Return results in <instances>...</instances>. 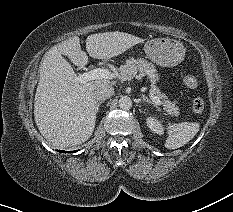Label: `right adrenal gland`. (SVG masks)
<instances>
[{
  "label": "right adrenal gland",
  "instance_id": "right-adrenal-gland-1",
  "mask_svg": "<svg viewBox=\"0 0 233 212\" xmlns=\"http://www.w3.org/2000/svg\"><path fill=\"white\" fill-rule=\"evenodd\" d=\"M102 103H104V101H103V100H102V101H97V104H96L97 112H98L99 107H100V105H101Z\"/></svg>",
  "mask_w": 233,
  "mask_h": 212
}]
</instances>
